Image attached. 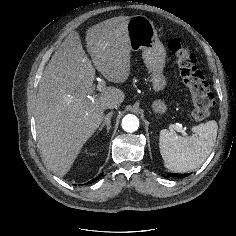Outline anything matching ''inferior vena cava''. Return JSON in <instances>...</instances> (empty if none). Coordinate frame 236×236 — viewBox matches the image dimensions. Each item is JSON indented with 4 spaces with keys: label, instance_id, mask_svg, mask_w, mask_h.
<instances>
[{
    "label": "inferior vena cava",
    "instance_id": "inferior-vena-cava-1",
    "mask_svg": "<svg viewBox=\"0 0 236 236\" xmlns=\"http://www.w3.org/2000/svg\"><path fill=\"white\" fill-rule=\"evenodd\" d=\"M118 106L119 105L117 103H114V102L106 104V108H109V109L118 108Z\"/></svg>",
    "mask_w": 236,
    "mask_h": 236
}]
</instances>
